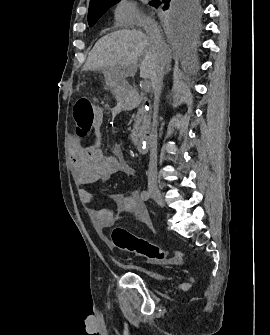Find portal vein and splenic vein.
Here are the masks:
<instances>
[{"label": "portal vein and splenic vein", "instance_id": "18ae733b", "mask_svg": "<svg viewBox=\"0 0 270 335\" xmlns=\"http://www.w3.org/2000/svg\"><path fill=\"white\" fill-rule=\"evenodd\" d=\"M142 92L143 93H148L149 92V86H143L142 87Z\"/></svg>", "mask_w": 270, "mask_h": 335}]
</instances>
